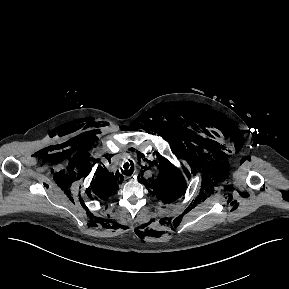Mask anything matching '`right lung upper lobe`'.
Returning a JSON list of instances; mask_svg holds the SVG:
<instances>
[{
  "label": "right lung upper lobe",
  "instance_id": "right-lung-upper-lobe-1",
  "mask_svg": "<svg viewBox=\"0 0 289 289\" xmlns=\"http://www.w3.org/2000/svg\"><path fill=\"white\" fill-rule=\"evenodd\" d=\"M118 181L117 177L114 178V175L110 176L105 169L98 168V175L92 181L94 197L107 200L118 189Z\"/></svg>",
  "mask_w": 289,
  "mask_h": 289
}]
</instances>
